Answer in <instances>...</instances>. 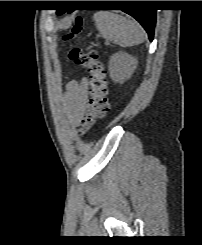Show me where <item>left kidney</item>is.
Masks as SVG:
<instances>
[{"mask_svg": "<svg viewBox=\"0 0 202 245\" xmlns=\"http://www.w3.org/2000/svg\"><path fill=\"white\" fill-rule=\"evenodd\" d=\"M137 59L125 52H118L110 57L109 74L114 82L124 83L137 66Z\"/></svg>", "mask_w": 202, "mask_h": 245, "instance_id": "obj_1", "label": "left kidney"}]
</instances>
